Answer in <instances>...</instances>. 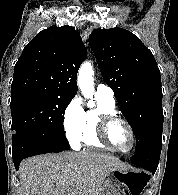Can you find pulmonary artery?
<instances>
[{"label": "pulmonary artery", "instance_id": "pulmonary-artery-1", "mask_svg": "<svg viewBox=\"0 0 178 195\" xmlns=\"http://www.w3.org/2000/svg\"><path fill=\"white\" fill-rule=\"evenodd\" d=\"M96 96L106 99L109 102L115 103V97L113 90L105 85L99 84L96 88Z\"/></svg>", "mask_w": 178, "mask_h": 195}]
</instances>
